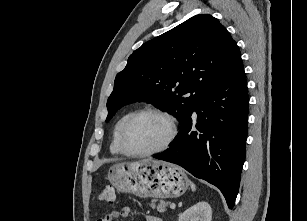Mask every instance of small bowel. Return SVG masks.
<instances>
[{
    "label": "small bowel",
    "mask_w": 307,
    "mask_h": 221,
    "mask_svg": "<svg viewBox=\"0 0 307 221\" xmlns=\"http://www.w3.org/2000/svg\"><path fill=\"white\" fill-rule=\"evenodd\" d=\"M131 214H133V210L130 207H124L121 210L114 209L109 213L105 214L102 218L98 219V221H114L119 217H127ZM144 221H162V220L153 215H146L144 217Z\"/></svg>",
    "instance_id": "c3829d8e"
}]
</instances>
